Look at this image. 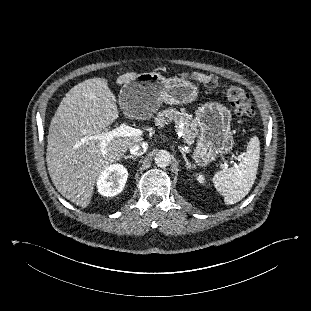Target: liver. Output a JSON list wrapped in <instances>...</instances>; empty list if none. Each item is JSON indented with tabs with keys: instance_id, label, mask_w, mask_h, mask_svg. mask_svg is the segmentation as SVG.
<instances>
[{
	"instance_id": "1",
	"label": "liver",
	"mask_w": 311,
	"mask_h": 311,
	"mask_svg": "<svg viewBox=\"0 0 311 311\" xmlns=\"http://www.w3.org/2000/svg\"><path fill=\"white\" fill-rule=\"evenodd\" d=\"M138 75L127 72L116 83H128ZM118 117L116 97L108 81L91 78L68 91L51 120L46 152L48 172L58 192L78 206H88L100 173L144 140L142 136L116 137L102 148L101 141L93 137Z\"/></svg>"
}]
</instances>
